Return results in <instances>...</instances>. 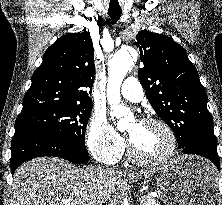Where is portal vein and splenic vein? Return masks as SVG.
Returning a JSON list of instances; mask_svg holds the SVG:
<instances>
[{"mask_svg":"<svg viewBox=\"0 0 222 205\" xmlns=\"http://www.w3.org/2000/svg\"><path fill=\"white\" fill-rule=\"evenodd\" d=\"M63 202L66 203V204L68 203L67 205H70L69 201H63Z\"/></svg>","mask_w":222,"mask_h":205,"instance_id":"obj_1","label":"portal vein and splenic vein"}]
</instances>
